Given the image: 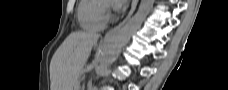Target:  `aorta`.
I'll use <instances>...</instances> for the list:
<instances>
[{
  "label": "aorta",
  "instance_id": "obj_1",
  "mask_svg": "<svg viewBox=\"0 0 228 90\" xmlns=\"http://www.w3.org/2000/svg\"><path fill=\"white\" fill-rule=\"evenodd\" d=\"M154 0H141L137 13L116 33L107 37L99 56V71L110 66L119 56L121 49L141 27L150 13Z\"/></svg>",
  "mask_w": 228,
  "mask_h": 90
}]
</instances>
